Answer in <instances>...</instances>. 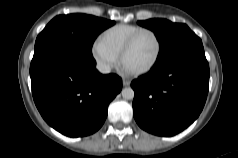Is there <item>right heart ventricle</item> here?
<instances>
[{"label": "right heart ventricle", "instance_id": "e07e8e85", "mask_svg": "<svg viewBox=\"0 0 238 158\" xmlns=\"http://www.w3.org/2000/svg\"><path fill=\"white\" fill-rule=\"evenodd\" d=\"M143 29L140 26L131 24H118L106 29L101 40L117 55H120L123 47L130 37L137 31Z\"/></svg>", "mask_w": 238, "mask_h": 158}]
</instances>
